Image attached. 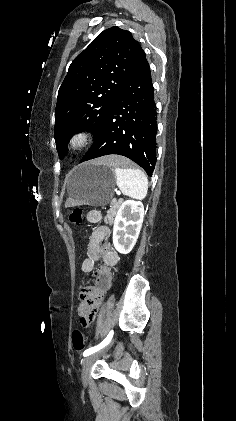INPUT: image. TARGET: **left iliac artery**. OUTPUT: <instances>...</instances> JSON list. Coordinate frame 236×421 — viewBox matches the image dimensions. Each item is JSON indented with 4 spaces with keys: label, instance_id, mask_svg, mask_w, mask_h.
Returning <instances> with one entry per match:
<instances>
[{
    "label": "left iliac artery",
    "instance_id": "1",
    "mask_svg": "<svg viewBox=\"0 0 236 421\" xmlns=\"http://www.w3.org/2000/svg\"><path fill=\"white\" fill-rule=\"evenodd\" d=\"M112 337H113V330L110 331V333L105 338V340L103 342H101L99 345L94 346V347H91V348L85 350L84 353H83V356L84 357L89 356V355L97 352L98 350L102 349L103 347H105L106 345L109 344V342L111 341Z\"/></svg>",
    "mask_w": 236,
    "mask_h": 421
}]
</instances>
